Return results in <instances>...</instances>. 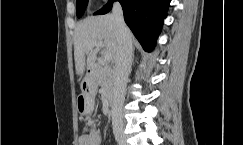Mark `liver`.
<instances>
[{
  "mask_svg": "<svg viewBox=\"0 0 243 145\" xmlns=\"http://www.w3.org/2000/svg\"><path fill=\"white\" fill-rule=\"evenodd\" d=\"M96 41H102L106 52H109L112 58L116 60L119 39L116 22L112 14L87 17L77 24L74 31V58L76 73L80 77L85 70L95 69L99 47L92 46V44Z\"/></svg>",
  "mask_w": 243,
  "mask_h": 145,
  "instance_id": "1",
  "label": "liver"
}]
</instances>
